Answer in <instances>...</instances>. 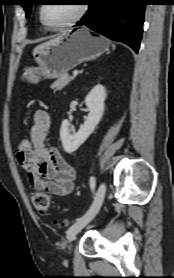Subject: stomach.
Returning <instances> with one entry per match:
<instances>
[{
    "label": "stomach",
    "mask_w": 174,
    "mask_h": 278,
    "mask_svg": "<svg viewBox=\"0 0 174 278\" xmlns=\"http://www.w3.org/2000/svg\"><path fill=\"white\" fill-rule=\"evenodd\" d=\"M108 47L105 37L87 27L64 33L33 53L36 66L26 68L23 78L30 83L59 78L77 65L96 59Z\"/></svg>",
    "instance_id": "1"
}]
</instances>
